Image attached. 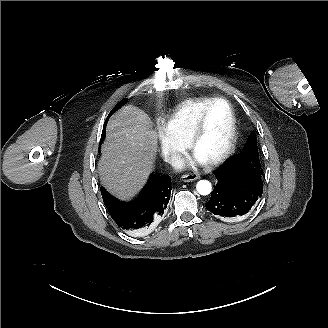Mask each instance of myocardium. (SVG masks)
<instances>
[{"label":"myocardium","instance_id":"myocardium-1","mask_svg":"<svg viewBox=\"0 0 328 328\" xmlns=\"http://www.w3.org/2000/svg\"><path fill=\"white\" fill-rule=\"evenodd\" d=\"M217 103H225L228 106L229 111H230V116H231V129H230L229 139H228V142H227V145L225 146V148L215 157L205 160V162L210 165H216V164H219V163L223 162L224 160H226L232 154V152L235 148V145H236L237 117H236V112H235L234 106L228 99L223 98V97L213 98L207 105H205L201 109L200 113L198 114V116L191 128V131L189 133V136H188L187 142H186V145L188 146V148L190 150L194 151L195 144L204 129L207 114L210 111V109Z\"/></svg>","mask_w":328,"mask_h":328}]
</instances>
